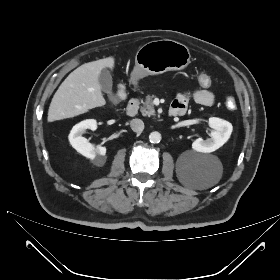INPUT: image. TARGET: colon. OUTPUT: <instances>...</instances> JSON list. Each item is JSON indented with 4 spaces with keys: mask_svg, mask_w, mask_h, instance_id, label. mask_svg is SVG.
<instances>
[{
    "mask_svg": "<svg viewBox=\"0 0 280 280\" xmlns=\"http://www.w3.org/2000/svg\"><path fill=\"white\" fill-rule=\"evenodd\" d=\"M194 82L200 88L207 89L212 84V78L207 73L199 72L195 75ZM225 104H226V107L230 110H234L236 108V101H235V98L232 96L226 97Z\"/></svg>",
    "mask_w": 280,
    "mask_h": 280,
    "instance_id": "obj_1",
    "label": "colon"
}]
</instances>
